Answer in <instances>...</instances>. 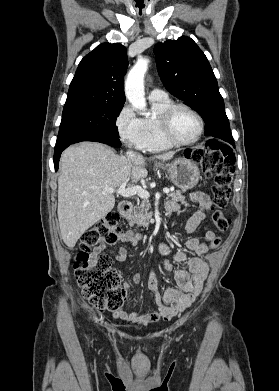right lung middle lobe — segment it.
Segmentation results:
<instances>
[{
    "instance_id": "1",
    "label": "right lung middle lobe",
    "mask_w": 279,
    "mask_h": 391,
    "mask_svg": "<svg viewBox=\"0 0 279 391\" xmlns=\"http://www.w3.org/2000/svg\"><path fill=\"white\" fill-rule=\"evenodd\" d=\"M122 106L95 104L63 110L56 146L105 133L117 135L116 119Z\"/></svg>"
}]
</instances>
